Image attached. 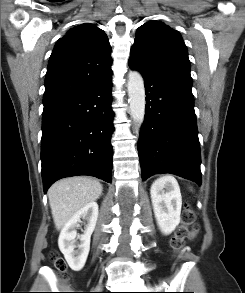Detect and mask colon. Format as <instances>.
I'll use <instances>...</instances> for the list:
<instances>
[{
    "mask_svg": "<svg viewBox=\"0 0 245 293\" xmlns=\"http://www.w3.org/2000/svg\"><path fill=\"white\" fill-rule=\"evenodd\" d=\"M198 229L199 227L194 220V212L192 211L190 205L185 203L182 224L175 230L171 241L173 249L175 251H180L187 239H193L196 236ZM50 258L56 266H64V261L59 257L57 252L52 251L50 253ZM64 278H66V276H64Z\"/></svg>",
    "mask_w": 245,
    "mask_h": 293,
    "instance_id": "colon-1",
    "label": "colon"
}]
</instances>
